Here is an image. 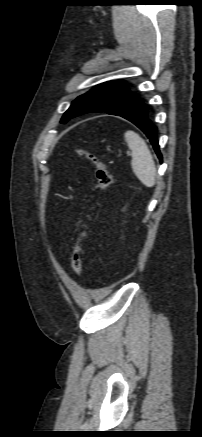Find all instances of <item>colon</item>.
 Masks as SVG:
<instances>
[{"label":"colon","mask_w":202,"mask_h":437,"mask_svg":"<svg viewBox=\"0 0 202 437\" xmlns=\"http://www.w3.org/2000/svg\"><path fill=\"white\" fill-rule=\"evenodd\" d=\"M76 153L79 156L84 157L94 165L96 170V178H97L96 188L99 192L106 191L112 184V176L109 173L105 163L101 159H99L98 156H96L91 152L82 149H77ZM86 236H87V232L85 229L80 230L76 236V243L74 245L72 256H71V267L76 275H79L82 271V265H83L82 243L86 238Z\"/></svg>","instance_id":"obj_1"}]
</instances>
